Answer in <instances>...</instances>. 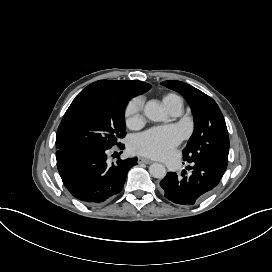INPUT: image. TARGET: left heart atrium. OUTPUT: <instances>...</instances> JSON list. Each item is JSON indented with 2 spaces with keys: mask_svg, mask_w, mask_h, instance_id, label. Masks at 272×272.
<instances>
[{
  "mask_svg": "<svg viewBox=\"0 0 272 272\" xmlns=\"http://www.w3.org/2000/svg\"><path fill=\"white\" fill-rule=\"evenodd\" d=\"M178 131L169 126L152 128L137 137L131 144L133 152L156 159H165L179 143Z\"/></svg>",
  "mask_w": 272,
  "mask_h": 272,
  "instance_id": "1",
  "label": "left heart atrium"
}]
</instances>
